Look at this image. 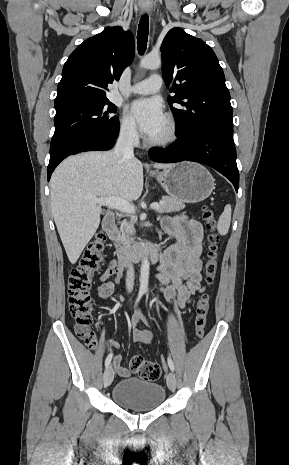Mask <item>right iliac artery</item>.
Masks as SVG:
<instances>
[{"label": "right iliac artery", "mask_w": 289, "mask_h": 465, "mask_svg": "<svg viewBox=\"0 0 289 465\" xmlns=\"http://www.w3.org/2000/svg\"><path fill=\"white\" fill-rule=\"evenodd\" d=\"M141 297H142V293H139V294H138V297H137V299H136V302H135V307L137 306V304H138V302L140 301ZM111 359H112V354H109V355L107 356L106 360H105V366H106V367L109 366V364H110V362H111Z\"/></svg>", "instance_id": "82829eb1"}]
</instances>
